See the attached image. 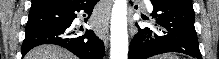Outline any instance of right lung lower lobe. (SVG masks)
<instances>
[{
  "mask_svg": "<svg viewBox=\"0 0 219 59\" xmlns=\"http://www.w3.org/2000/svg\"><path fill=\"white\" fill-rule=\"evenodd\" d=\"M96 2L98 0H72L63 5H45L32 9L31 13L56 12L58 20L27 29L22 44V56L38 45L56 44L68 49L80 59H102L105 52L103 41L92 30H86L81 35L72 25L73 20L77 17L76 12L85 10L91 15ZM80 30L83 31V29Z\"/></svg>",
  "mask_w": 219,
  "mask_h": 59,
  "instance_id": "1",
  "label": "right lung lower lobe"
}]
</instances>
